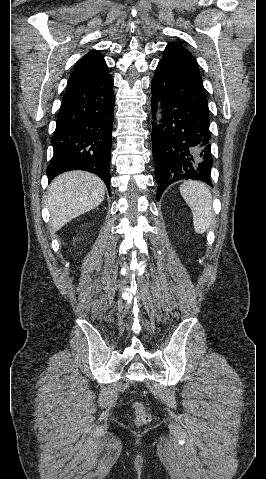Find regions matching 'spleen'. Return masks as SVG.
I'll return each mask as SVG.
<instances>
[{"label":"spleen","instance_id":"1","mask_svg":"<svg viewBox=\"0 0 266 479\" xmlns=\"http://www.w3.org/2000/svg\"><path fill=\"white\" fill-rule=\"evenodd\" d=\"M180 193L193 214V225L197 234L209 229L213 220L212 196L207 185L199 181H185Z\"/></svg>","mask_w":266,"mask_h":479}]
</instances>
